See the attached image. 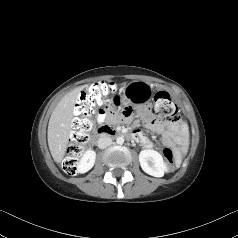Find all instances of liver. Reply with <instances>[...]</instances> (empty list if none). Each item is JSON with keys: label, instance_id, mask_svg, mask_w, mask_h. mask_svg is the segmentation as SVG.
I'll return each mask as SVG.
<instances>
[{"label": "liver", "instance_id": "obj_1", "mask_svg": "<svg viewBox=\"0 0 238 238\" xmlns=\"http://www.w3.org/2000/svg\"><path fill=\"white\" fill-rule=\"evenodd\" d=\"M85 86L67 93L57 104L48 124V146L55 162L59 163L65 155L72 129L74 105Z\"/></svg>", "mask_w": 238, "mask_h": 238}]
</instances>
